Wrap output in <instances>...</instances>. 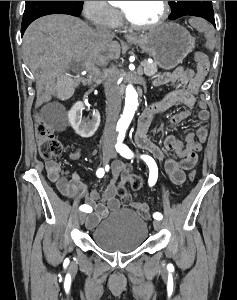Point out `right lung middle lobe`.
Listing matches in <instances>:
<instances>
[{"label": "right lung middle lobe", "mask_w": 237, "mask_h": 300, "mask_svg": "<svg viewBox=\"0 0 237 300\" xmlns=\"http://www.w3.org/2000/svg\"><path fill=\"white\" fill-rule=\"evenodd\" d=\"M62 9L82 10V1H26L23 21H28L50 11Z\"/></svg>", "instance_id": "dd1d6c3e"}]
</instances>
